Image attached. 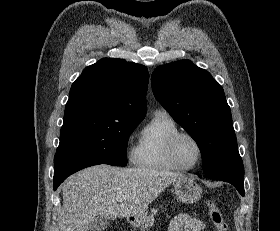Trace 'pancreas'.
<instances>
[{"mask_svg":"<svg viewBox=\"0 0 280 231\" xmlns=\"http://www.w3.org/2000/svg\"><path fill=\"white\" fill-rule=\"evenodd\" d=\"M157 211V207H152L150 215L146 217V221H143V223H141L142 231H146V229H148L150 225H154V215L155 213H157Z\"/></svg>","mask_w":280,"mask_h":231,"instance_id":"pancreas-1","label":"pancreas"}]
</instances>
